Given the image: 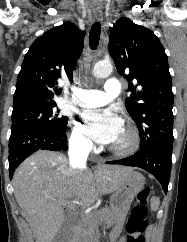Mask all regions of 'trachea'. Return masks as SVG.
<instances>
[{
  "mask_svg": "<svg viewBox=\"0 0 187 242\" xmlns=\"http://www.w3.org/2000/svg\"><path fill=\"white\" fill-rule=\"evenodd\" d=\"M101 33V25L96 21L90 30L89 33V45L92 50H95L99 44V38Z\"/></svg>",
  "mask_w": 187,
  "mask_h": 242,
  "instance_id": "1",
  "label": "trachea"
}]
</instances>
